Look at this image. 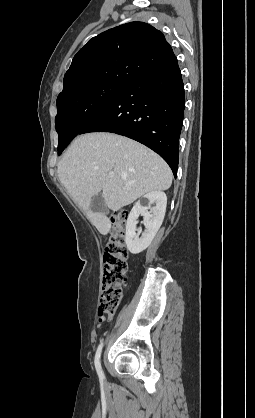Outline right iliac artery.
Segmentation results:
<instances>
[{
  "label": "right iliac artery",
  "mask_w": 255,
  "mask_h": 418,
  "mask_svg": "<svg viewBox=\"0 0 255 418\" xmlns=\"http://www.w3.org/2000/svg\"><path fill=\"white\" fill-rule=\"evenodd\" d=\"M102 347H103V341L100 343V345L97 348L96 355H95V361H94L95 362V368H96V371L98 373V376H99L100 380L104 379V374H103L101 364H100V356H101Z\"/></svg>",
  "instance_id": "1"
}]
</instances>
